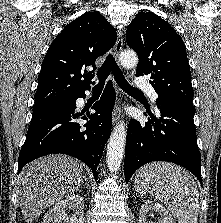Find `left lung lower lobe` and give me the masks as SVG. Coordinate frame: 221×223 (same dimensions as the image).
<instances>
[{
  "instance_id": "left-lung-lower-lobe-1",
  "label": "left lung lower lobe",
  "mask_w": 221,
  "mask_h": 223,
  "mask_svg": "<svg viewBox=\"0 0 221 223\" xmlns=\"http://www.w3.org/2000/svg\"><path fill=\"white\" fill-rule=\"evenodd\" d=\"M161 117L148 111V122L131 119L125 150V180L151 161H168L191 171L201 182V155L196 140L195 110L171 103H158Z\"/></svg>"
}]
</instances>
